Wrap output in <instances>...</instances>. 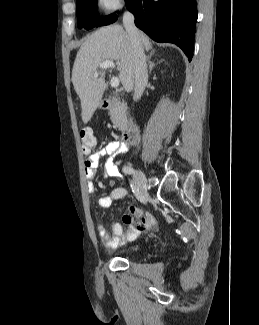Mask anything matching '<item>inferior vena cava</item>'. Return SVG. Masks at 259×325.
Masks as SVG:
<instances>
[{
	"mask_svg": "<svg viewBox=\"0 0 259 325\" xmlns=\"http://www.w3.org/2000/svg\"><path fill=\"white\" fill-rule=\"evenodd\" d=\"M123 25L132 43V66L134 71V100H139L148 81L146 56L140 41V34L134 24V16L126 11L123 15Z\"/></svg>",
	"mask_w": 259,
	"mask_h": 325,
	"instance_id": "1",
	"label": "inferior vena cava"
}]
</instances>
